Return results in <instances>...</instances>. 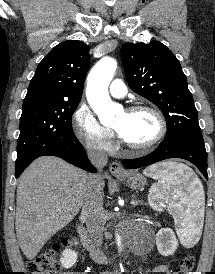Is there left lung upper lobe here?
<instances>
[{"label": "left lung upper lobe", "mask_w": 215, "mask_h": 274, "mask_svg": "<svg viewBox=\"0 0 215 274\" xmlns=\"http://www.w3.org/2000/svg\"><path fill=\"white\" fill-rule=\"evenodd\" d=\"M121 58L129 86L164 114L165 139L203 141L193 97L175 55L159 41H151L124 44Z\"/></svg>", "instance_id": "1"}]
</instances>
